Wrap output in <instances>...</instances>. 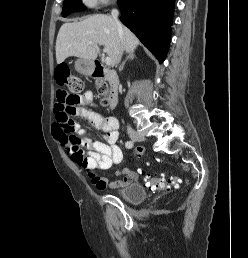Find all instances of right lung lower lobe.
<instances>
[{"label":"right lung lower lobe","mask_w":248,"mask_h":258,"mask_svg":"<svg viewBox=\"0 0 248 258\" xmlns=\"http://www.w3.org/2000/svg\"><path fill=\"white\" fill-rule=\"evenodd\" d=\"M175 0H119L121 22L161 64L170 44Z\"/></svg>","instance_id":"1"}]
</instances>
